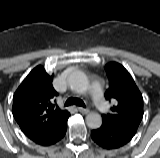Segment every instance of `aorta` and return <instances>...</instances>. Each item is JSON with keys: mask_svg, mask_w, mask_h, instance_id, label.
Masks as SVG:
<instances>
[{"mask_svg": "<svg viewBox=\"0 0 160 158\" xmlns=\"http://www.w3.org/2000/svg\"><path fill=\"white\" fill-rule=\"evenodd\" d=\"M69 85L77 93H84L88 90L89 81L87 76L82 72H75L69 78ZM88 127L96 129L102 124V117L99 113L91 112L86 116Z\"/></svg>", "mask_w": 160, "mask_h": 158, "instance_id": "aorta-1", "label": "aorta"}]
</instances>
